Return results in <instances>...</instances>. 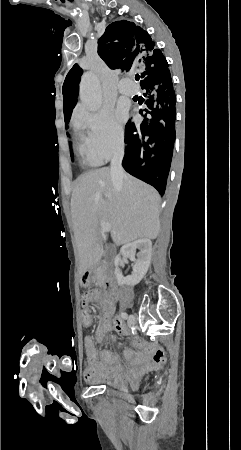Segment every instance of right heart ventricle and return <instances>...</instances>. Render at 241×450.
I'll list each match as a JSON object with an SVG mask.
<instances>
[{
	"mask_svg": "<svg viewBox=\"0 0 241 450\" xmlns=\"http://www.w3.org/2000/svg\"><path fill=\"white\" fill-rule=\"evenodd\" d=\"M80 116H88V115H80ZM84 130H75V145L76 150L83 161V163L89 166H97L100 165L103 161L98 159L95 155H85L84 154Z\"/></svg>",
	"mask_w": 241,
	"mask_h": 450,
	"instance_id": "obj_1",
	"label": "right heart ventricle"
}]
</instances>
